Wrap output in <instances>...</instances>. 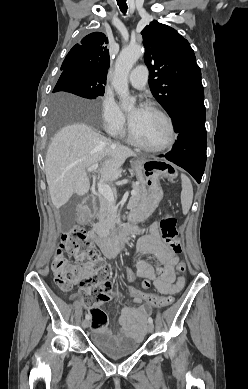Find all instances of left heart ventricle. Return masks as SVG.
Here are the masks:
<instances>
[{
  "label": "left heart ventricle",
  "mask_w": 248,
  "mask_h": 389,
  "mask_svg": "<svg viewBox=\"0 0 248 389\" xmlns=\"http://www.w3.org/2000/svg\"><path fill=\"white\" fill-rule=\"evenodd\" d=\"M130 122L136 137L144 144L158 146L168 138V126L157 113L142 107L130 111Z\"/></svg>",
  "instance_id": "b2bd125f"
}]
</instances>
